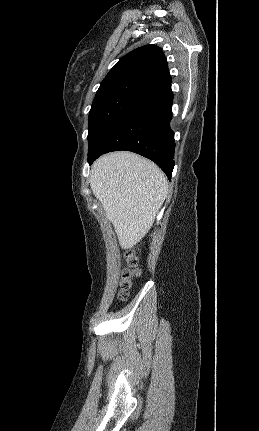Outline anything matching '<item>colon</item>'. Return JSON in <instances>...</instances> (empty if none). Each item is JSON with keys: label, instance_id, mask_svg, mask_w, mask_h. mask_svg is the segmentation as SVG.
Returning a JSON list of instances; mask_svg holds the SVG:
<instances>
[{"label": "colon", "instance_id": "1", "mask_svg": "<svg viewBox=\"0 0 259 431\" xmlns=\"http://www.w3.org/2000/svg\"><path fill=\"white\" fill-rule=\"evenodd\" d=\"M138 261L135 256L128 254L126 257V265L122 272L121 289L119 291V299L125 300L128 296V290L131 286V281L139 275Z\"/></svg>", "mask_w": 259, "mask_h": 431}]
</instances>
